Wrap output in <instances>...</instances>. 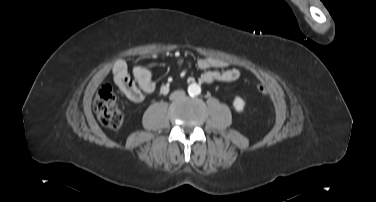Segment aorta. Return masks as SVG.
<instances>
[{
	"label": "aorta",
	"mask_w": 376,
	"mask_h": 202,
	"mask_svg": "<svg viewBox=\"0 0 376 202\" xmlns=\"http://www.w3.org/2000/svg\"><path fill=\"white\" fill-rule=\"evenodd\" d=\"M188 93L190 96H197L201 93L200 85L192 83L188 86Z\"/></svg>",
	"instance_id": "aorta-1"
}]
</instances>
